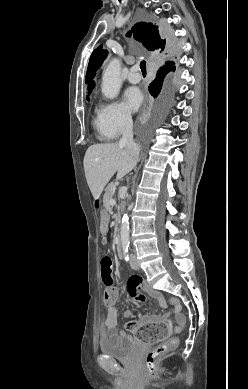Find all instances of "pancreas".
I'll use <instances>...</instances> for the list:
<instances>
[{
  "label": "pancreas",
  "mask_w": 248,
  "mask_h": 389,
  "mask_svg": "<svg viewBox=\"0 0 248 389\" xmlns=\"http://www.w3.org/2000/svg\"><path fill=\"white\" fill-rule=\"evenodd\" d=\"M116 189V185L114 183H110L105 189V194L103 197V206L105 208V213L110 209V199L114 195Z\"/></svg>",
  "instance_id": "1"
}]
</instances>
